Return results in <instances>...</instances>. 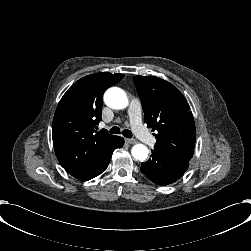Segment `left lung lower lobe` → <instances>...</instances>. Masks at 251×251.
I'll list each match as a JSON object with an SVG mask.
<instances>
[{
	"label": "left lung lower lobe",
	"mask_w": 251,
	"mask_h": 251,
	"mask_svg": "<svg viewBox=\"0 0 251 251\" xmlns=\"http://www.w3.org/2000/svg\"><path fill=\"white\" fill-rule=\"evenodd\" d=\"M188 166V160L174 158L153 150L152 157L141 164V172L152 182L164 186L180 179Z\"/></svg>",
	"instance_id": "obj_1"
}]
</instances>
